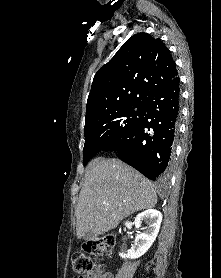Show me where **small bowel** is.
I'll list each match as a JSON object with an SVG mask.
<instances>
[{
	"instance_id": "c3829d8e",
	"label": "small bowel",
	"mask_w": 221,
	"mask_h": 278,
	"mask_svg": "<svg viewBox=\"0 0 221 278\" xmlns=\"http://www.w3.org/2000/svg\"><path fill=\"white\" fill-rule=\"evenodd\" d=\"M91 278H114V277L111 272L99 269L98 273L92 276Z\"/></svg>"
}]
</instances>
